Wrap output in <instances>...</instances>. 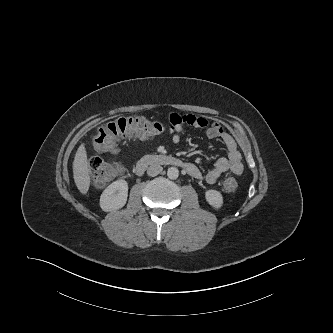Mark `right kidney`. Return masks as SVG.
Wrapping results in <instances>:
<instances>
[{
	"label": "right kidney",
	"mask_w": 333,
	"mask_h": 333,
	"mask_svg": "<svg viewBox=\"0 0 333 333\" xmlns=\"http://www.w3.org/2000/svg\"><path fill=\"white\" fill-rule=\"evenodd\" d=\"M128 197V183L116 180L111 183L100 196V207L103 211H113L122 208Z\"/></svg>",
	"instance_id": "ca27d5eb"
}]
</instances>
